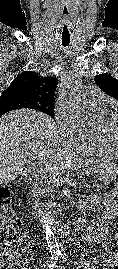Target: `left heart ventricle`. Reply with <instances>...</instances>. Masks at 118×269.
<instances>
[{
    "instance_id": "obj_1",
    "label": "left heart ventricle",
    "mask_w": 118,
    "mask_h": 269,
    "mask_svg": "<svg viewBox=\"0 0 118 269\" xmlns=\"http://www.w3.org/2000/svg\"><path fill=\"white\" fill-rule=\"evenodd\" d=\"M111 133L113 138L118 142V121L113 125Z\"/></svg>"
}]
</instances>
